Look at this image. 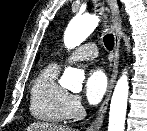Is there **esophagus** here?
I'll list each match as a JSON object with an SVG mask.
<instances>
[{"label":"esophagus","mask_w":147,"mask_h":131,"mask_svg":"<svg viewBox=\"0 0 147 131\" xmlns=\"http://www.w3.org/2000/svg\"><path fill=\"white\" fill-rule=\"evenodd\" d=\"M106 2L109 6V9L112 15L111 28H112V32L114 35V62H113L112 73L110 76L106 95L98 111V115L96 119L87 128V131H99V129L101 128L106 112H107V109H108L110 97H111L112 90H113V87L116 81V77H117V73H118L119 48H120V42H121L120 14H119V9H118L116 0H106Z\"/></svg>","instance_id":"1"}]
</instances>
